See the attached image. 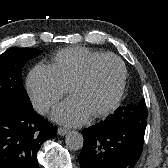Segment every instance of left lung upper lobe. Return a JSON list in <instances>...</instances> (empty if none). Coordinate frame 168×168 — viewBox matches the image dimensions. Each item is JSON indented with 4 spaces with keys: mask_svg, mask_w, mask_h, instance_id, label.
I'll use <instances>...</instances> for the list:
<instances>
[{
    "mask_svg": "<svg viewBox=\"0 0 168 168\" xmlns=\"http://www.w3.org/2000/svg\"><path fill=\"white\" fill-rule=\"evenodd\" d=\"M142 102L145 103V100H141V101H139L138 103H133V104H140V103H142Z\"/></svg>",
    "mask_w": 168,
    "mask_h": 168,
    "instance_id": "5c2ea615",
    "label": "left lung upper lobe"
}]
</instances>
